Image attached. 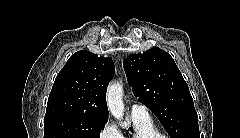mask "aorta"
<instances>
[{
  "label": "aorta",
  "mask_w": 240,
  "mask_h": 138,
  "mask_svg": "<svg viewBox=\"0 0 240 138\" xmlns=\"http://www.w3.org/2000/svg\"><path fill=\"white\" fill-rule=\"evenodd\" d=\"M107 104L112 116L121 120L124 115L123 88L119 83H111L107 89Z\"/></svg>",
  "instance_id": "762f6f07"
}]
</instances>
